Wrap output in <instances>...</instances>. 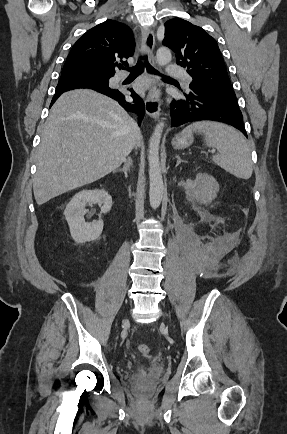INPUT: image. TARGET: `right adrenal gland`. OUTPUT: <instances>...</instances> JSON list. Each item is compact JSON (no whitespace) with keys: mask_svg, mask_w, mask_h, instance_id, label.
Here are the masks:
<instances>
[{"mask_svg":"<svg viewBox=\"0 0 287 434\" xmlns=\"http://www.w3.org/2000/svg\"><path fill=\"white\" fill-rule=\"evenodd\" d=\"M131 166H132V159H131V157H128L124 161L123 168L117 169L115 172H123L125 178H127L128 177V171L130 170Z\"/></svg>","mask_w":287,"mask_h":434,"instance_id":"2a0ac1e0","label":"right adrenal gland"}]
</instances>
